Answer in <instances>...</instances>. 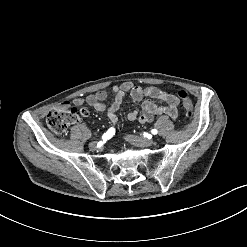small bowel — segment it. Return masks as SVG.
<instances>
[{"label":"small bowel","instance_id":"obj_1","mask_svg":"<svg viewBox=\"0 0 247 247\" xmlns=\"http://www.w3.org/2000/svg\"><path fill=\"white\" fill-rule=\"evenodd\" d=\"M114 100L110 106H107L105 100L108 93L104 90L97 91L93 94L77 97L72 100L74 106L88 105L93 107L98 112H105L110 123L116 124L118 122L117 111L123 103L126 95H129L134 103L140 102L143 98H148L142 103V112L139 115L137 111L128 113L129 120L138 119L141 123H150L154 116L167 114L170 118L176 119L178 116L179 99L176 95L161 90L156 87L141 88L132 82H123L115 85L112 88ZM69 103L65 102L62 107H68ZM81 117H88L90 112L87 108L79 110Z\"/></svg>","mask_w":247,"mask_h":247}]
</instances>
